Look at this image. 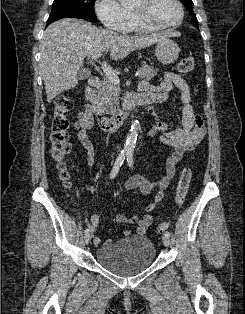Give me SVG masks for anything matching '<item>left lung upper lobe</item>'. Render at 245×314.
<instances>
[{
	"instance_id": "obj_1",
	"label": "left lung upper lobe",
	"mask_w": 245,
	"mask_h": 314,
	"mask_svg": "<svg viewBox=\"0 0 245 314\" xmlns=\"http://www.w3.org/2000/svg\"><path fill=\"white\" fill-rule=\"evenodd\" d=\"M184 6L188 9L190 15L192 16V19H191V23L197 28H198V20H197V17L196 15L194 14L193 12V2L192 0H180Z\"/></svg>"
}]
</instances>
